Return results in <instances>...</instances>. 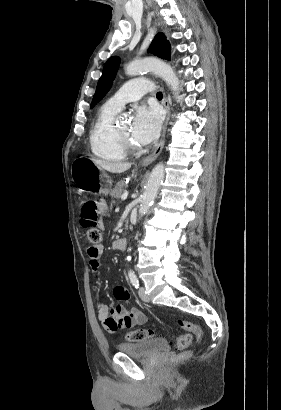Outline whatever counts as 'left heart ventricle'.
I'll return each mask as SVG.
<instances>
[{
    "label": "left heart ventricle",
    "mask_w": 281,
    "mask_h": 410,
    "mask_svg": "<svg viewBox=\"0 0 281 410\" xmlns=\"http://www.w3.org/2000/svg\"><path fill=\"white\" fill-rule=\"evenodd\" d=\"M119 130H120V132H121L122 134H124V135H126V136H130V133H131V127H130V125H126V126L120 128Z\"/></svg>",
    "instance_id": "left-heart-ventricle-1"
}]
</instances>
